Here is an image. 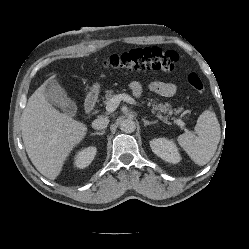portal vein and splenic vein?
Here are the masks:
<instances>
[{
	"label": "portal vein and splenic vein",
	"mask_w": 249,
	"mask_h": 249,
	"mask_svg": "<svg viewBox=\"0 0 249 249\" xmlns=\"http://www.w3.org/2000/svg\"><path fill=\"white\" fill-rule=\"evenodd\" d=\"M121 101H125L127 103L140 106L131 96H129V95L125 94V93H122V94L114 95L107 102L106 111L109 112V113L114 112L117 109V107H118V105L120 104ZM174 123L179 125L182 128L185 127V123L181 119L174 120Z\"/></svg>",
	"instance_id": "obj_1"
}]
</instances>
